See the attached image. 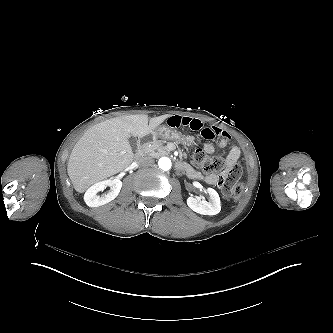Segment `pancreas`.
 Here are the masks:
<instances>
[{
	"mask_svg": "<svg viewBox=\"0 0 333 333\" xmlns=\"http://www.w3.org/2000/svg\"><path fill=\"white\" fill-rule=\"evenodd\" d=\"M166 140H155L147 148L146 155L151 157H162L170 153Z\"/></svg>",
	"mask_w": 333,
	"mask_h": 333,
	"instance_id": "1",
	"label": "pancreas"
}]
</instances>
